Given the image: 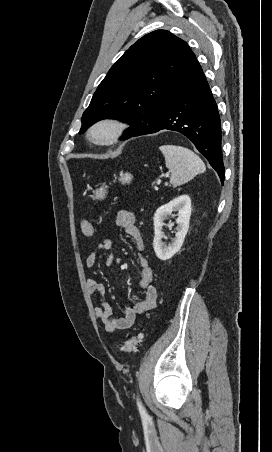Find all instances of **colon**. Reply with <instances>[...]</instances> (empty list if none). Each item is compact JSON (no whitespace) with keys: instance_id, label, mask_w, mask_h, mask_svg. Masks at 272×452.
<instances>
[{"instance_id":"5ec220e1","label":"colon","mask_w":272,"mask_h":452,"mask_svg":"<svg viewBox=\"0 0 272 452\" xmlns=\"http://www.w3.org/2000/svg\"><path fill=\"white\" fill-rule=\"evenodd\" d=\"M81 230L85 236H92L94 234V228L90 221L83 220L81 222ZM145 337V333L143 331H138L134 336L124 341L121 345V352L124 354H131L136 351L137 347L141 344Z\"/></svg>"}]
</instances>
